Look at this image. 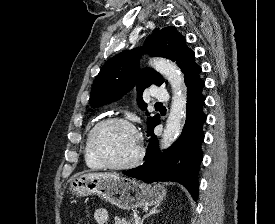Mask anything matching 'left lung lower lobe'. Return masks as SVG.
I'll list each match as a JSON object with an SVG mask.
<instances>
[{"mask_svg":"<svg viewBox=\"0 0 275 224\" xmlns=\"http://www.w3.org/2000/svg\"><path fill=\"white\" fill-rule=\"evenodd\" d=\"M201 70L199 68L185 81L187 86L186 122L178 140L161 153L157 136L154 134L155 126L160 122L158 120L147 130L150 140L144 164L124 172L126 176L145 183L179 182L188 189L195 201L199 192L198 172L203 159L201 144L204 140V132L202 126L206 122V115L202 110L205 97L201 92L204 87V81L199 77Z\"/></svg>","mask_w":275,"mask_h":224,"instance_id":"0a47b994","label":"left lung lower lobe"}]
</instances>
